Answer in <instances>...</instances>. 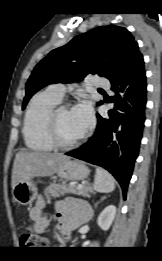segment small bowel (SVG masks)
Wrapping results in <instances>:
<instances>
[{"instance_id": "small-bowel-1", "label": "small bowel", "mask_w": 162, "mask_h": 261, "mask_svg": "<svg viewBox=\"0 0 162 261\" xmlns=\"http://www.w3.org/2000/svg\"><path fill=\"white\" fill-rule=\"evenodd\" d=\"M44 206V201L39 197L36 205L29 211V219L33 224V228L36 232H41L48 226V220L42 214V208ZM56 211L61 220L60 229H69L72 225V218L69 212V204L67 202L61 201L56 204Z\"/></svg>"}]
</instances>
